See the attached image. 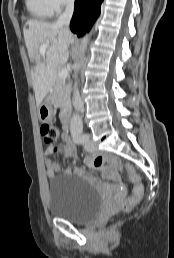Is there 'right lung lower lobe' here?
<instances>
[{
    "instance_id": "right-lung-lower-lobe-1",
    "label": "right lung lower lobe",
    "mask_w": 174,
    "mask_h": 258,
    "mask_svg": "<svg viewBox=\"0 0 174 258\" xmlns=\"http://www.w3.org/2000/svg\"><path fill=\"white\" fill-rule=\"evenodd\" d=\"M103 0H75L74 14L70 23V29L78 37L88 32L100 14Z\"/></svg>"
}]
</instances>
